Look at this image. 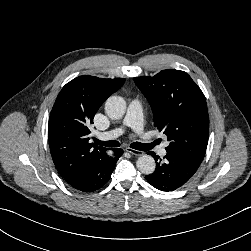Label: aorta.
<instances>
[{"instance_id":"aorta-1","label":"aorta","mask_w":251,"mask_h":251,"mask_svg":"<svg viewBox=\"0 0 251 251\" xmlns=\"http://www.w3.org/2000/svg\"><path fill=\"white\" fill-rule=\"evenodd\" d=\"M105 112L111 119H121L126 112V102L120 96H111L106 100ZM138 170L146 175L155 171L156 163L152 156L142 155L136 162Z\"/></svg>"}]
</instances>
